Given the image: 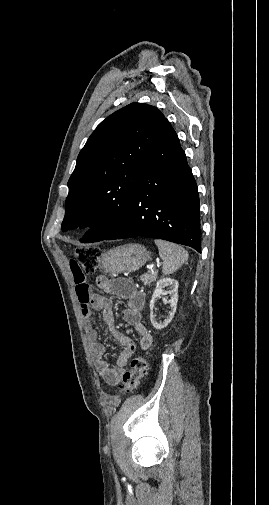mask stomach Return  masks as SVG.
Masks as SVG:
<instances>
[{"mask_svg": "<svg viewBox=\"0 0 269 505\" xmlns=\"http://www.w3.org/2000/svg\"><path fill=\"white\" fill-rule=\"evenodd\" d=\"M150 258L149 251L137 243L113 248L102 255V268L109 274L134 272Z\"/></svg>", "mask_w": 269, "mask_h": 505, "instance_id": "1", "label": "stomach"}]
</instances>
